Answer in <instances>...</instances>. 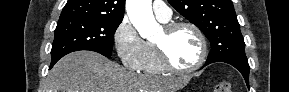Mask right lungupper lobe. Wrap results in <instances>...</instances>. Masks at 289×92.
<instances>
[{"mask_svg": "<svg viewBox=\"0 0 289 92\" xmlns=\"http://www.w3.org/2000/svg\"><path fill=\"white\" fill-rule=\"evenodd\" d=\"M125 0H68L60 19L84 18L119 21L124 17Z\"/></svg>", "mask_w": 289, "mask_h": 92, "instance_id": "1", "label": "right lung upper lobe"}]
</instances>
